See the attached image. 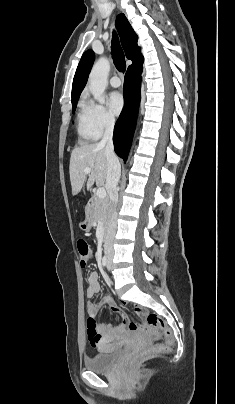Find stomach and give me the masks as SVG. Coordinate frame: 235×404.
Returning <instances> with one entry per match:
<instances>
[{
    "instance_id": "0dacf381",
    "label": "stomach",
    "mask_w": 235,
    "mask_h": 404,
    "mask_svg": "<svg viewBox=\"0 0 235 404\" xmlns=\"http://www.w3.org/2000/svg\"><path fill=\"white\" fill-rule=\"evenodd\" d=\"M90 212H89V210H87V212H86V219H85V221H83L82 223H80V225H79V227H80V229L81 230H83V231H89L90 229H91V217H90Z\"/></svg>"
}]
</instances>
